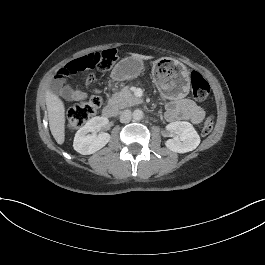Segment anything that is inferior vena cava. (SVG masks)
<instances>
[{
	"instance_id": "inferior-vena-cava-1",
	"label": "inferior vena cava",
	"mask_w": 265,
	"mask_h": 265,
	"mask_svg": "<svg viewBox=\"0 0 265 265\" xmlns=\"http://www.w3.org/2000/svg\"><path fill=\"white\" fill-rule=\"evenodd\" d=\"M132 113L130 110H124L120 114V122L121 123H128L131 120Z\"/></svg>"
}]
</instances>
